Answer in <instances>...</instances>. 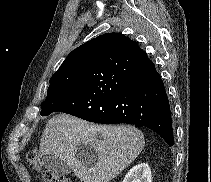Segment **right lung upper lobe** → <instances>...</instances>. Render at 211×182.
<instances>
[{"mask_svg":"<svg viewBox=\"0 0 211 182\" xmlns=\"http://www.w3.org/2000/svg\"><path fill=\"white\" fill-rule=\"evenodd\" d=\"M95 40H96V38L86 42L85 44H83L80 47L73 50L66 57L65 61L63 62V64L59 67V69L56 72H58L59 70H61L63 68L75 66V65L81 64V63H86L88 65Z\"/></svg>","mask_w":211,"mask_h":182,"instance_id":"1","label":"right lung upper lobe"}]
</instances>
